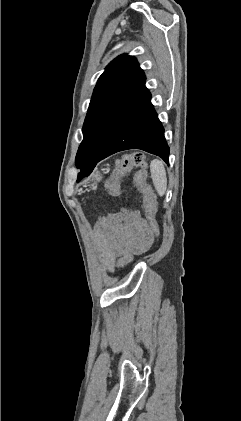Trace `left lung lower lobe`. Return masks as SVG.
<instances>
[{
	"label": "left lung lower lobe",
	"mask_w": 241,
	"mask_h": 421,
	"mask_svg": "<svg viewBox=\"0 0 241 421\" xmlns=\"http://www.w3.org/2000/svg\"><path fill=\"white\" fill-rule=\"evenodd\" d=\"M128 149L144 150L169 163L164 128L151 104V94L145 87V75L123 110L102 154L95 162L81 168L78 181L88 176L99 161Z\"/></svg>",
	"instance_id": "left-lung-lower-lobe-1"
}]
</instances>
